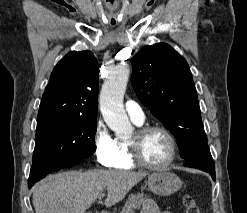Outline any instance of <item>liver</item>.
Listing matches in <instances>:
<instances>
[{
    "label": "liver",
    "instance_id": "liver-1",
    "mask_svg": "<svg viewBox=\"0 0 247 213\" xmlns=\"http://www.w3.org/2000/svg\"><path fill=\"white\" fill-rule=\"evenodd\" d=\"M145 176L146 172L122 170L61 172L34 186L33 206L36 213H85L106 189L105 205L110 207Z\"/></svg>",
    "mask_w": 247,
    "mask_h": 213
}]
</instances>
